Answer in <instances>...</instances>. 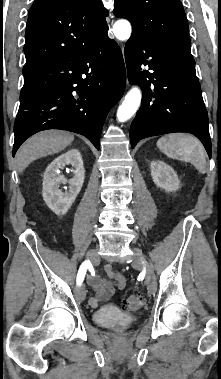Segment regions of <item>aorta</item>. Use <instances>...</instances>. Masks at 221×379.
<instances>
[{
	"instance_id": "1",
	"label": "aorta",
	"mask_w": 221,
	"mask_h": 379,
	"mask_svg": "<svg viewBox=\"0 0 221 379\" xmlns=\"http://www.w3.org/2000/svg\"><path fill=\"white\" fill-rule=\"evenodd\" d=\"M113 32L118 40H127L131 35V25L129 21L125 19L116 21L113 25ZM141 96V91L138 87H132L130 89L117 110V119L119 122H125L134 115L140 105Z\"/></svg>"
}]
</instances>
